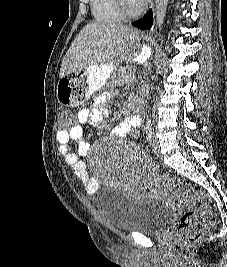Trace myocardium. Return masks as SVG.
Listing matches in <instances>:
<instances>
[{
    "instance_id": "myocardium-1",
    "label": "myocardium",
    "mask_w": 227,
    "mask_h": 267,
    "mask_svg": "<svg viewBox=\"0 0 227 267\" xmlns=\"http://www.w3.org/2000/svg\"><path fill=\"white\" fill-rule=\"evenodd\" d=\"M116 8L124 18H135L142 12L140 7L130 8L126 0H115Z\"/></svg>"
}]
</instances>
